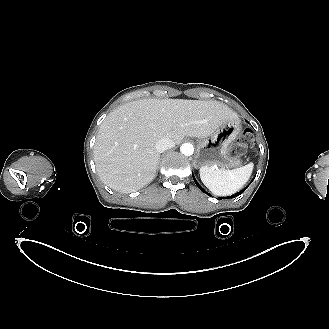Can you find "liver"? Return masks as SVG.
<instances>
[{
    "label": "liver",
    "mask_w": 329,
    "mask_h": 329,
    "mask_svg": "<svg viewBox=\"0 0 329 329\" xmlns=\"http://www.w3.org/2000/svg\"><path fill=\"white\" fill-rule=\"evenodd\" d=\"M238 115L214 100L141 99L109 113L100 126L94 161L100 179L119 192H135L156 173L161 138L208 137Z\"/></svg>",
    "instance_id": "obj_1"
}]
</instances>
